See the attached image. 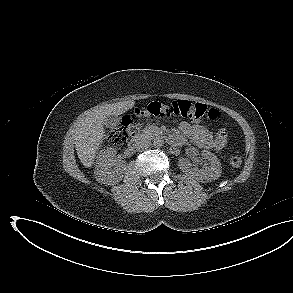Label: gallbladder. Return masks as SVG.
Instances as JSON below:
<instances>
[{"mask_svg": "<svg viewBox=\"0 0 293 293\" xmlns=\"http://www.w3.org/2000/svg\"><path fill=\"white\" fill-rule=\"evenodd\" d=\"M119 122H120V117L110 115V116L106 117V119L104 121V125L108 128L114 129L117 127Z\"/></svg>", "mask_w": 293, "mask_h": 293, "instance_id": "1", "label": "gallbladder"}]
</instances>
